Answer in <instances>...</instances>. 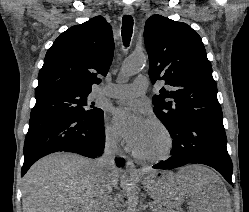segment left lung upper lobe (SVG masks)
<instances>
[{
	"label": "left lung upper lobe",
	"instance_id": "5c2ea615",
	"mask_svg": "<svg viewBox=\"0 0 249 212\" xmlns=\"http://www.w3.org/2000/svg\"><path fill=\"white\" fill-rule=\"evenodd\" d=\"M144 41L152 84L164 80L169 86L153 97V110L162 123L170 128L183 119H222L212 66L197 32L155 14L146 21Z\"/></svg>",
	"mask_w": 249,
	"mask_h": 212
}]
</instances>
